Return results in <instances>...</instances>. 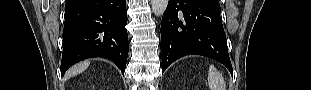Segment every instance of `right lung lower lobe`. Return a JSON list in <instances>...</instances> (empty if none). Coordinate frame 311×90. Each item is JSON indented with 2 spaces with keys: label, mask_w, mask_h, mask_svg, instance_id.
Here are the masks:
<instances>
[{
  "label": "right lung lower lobe",
  "mask_w": 311,
  "mask_h": 90,
  "mask_svg": "<svg viewBox=\"0 0 311 90\" xmlns=\"http://www.w3.org/2000/svg\"><path fill=\"white\" fill-rule=\"evenodd\" d=\"M126 0H67L61 74L91 57L111 59L124 74L128 56Z\"/></svg>",
  "instance_id": "right-lung-lower-lobe-1"
}]
</instances>
